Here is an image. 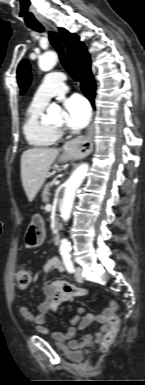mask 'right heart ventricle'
I'll return each instance as SVG.
<instances>
[{"label": "right heart ventricle", "mask_w": 145, "mask_h": 385, "mask_svg": "<svg viewBox=\"0 0 145 385\" xmlns=\"http://www.w3.org/2000/svg\"><path fill=\"white\" fill-rule=\"evenodd\" d=\"M46 104L31 102L23 121V134L27 142L34 147L45 148L57 142L58 131L43 120Z\"/></svg>", "instance_id": "1"}]
</instances>
